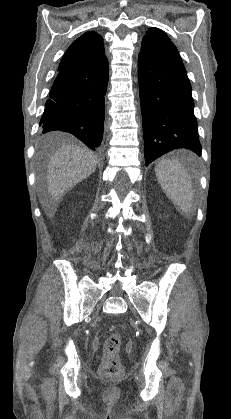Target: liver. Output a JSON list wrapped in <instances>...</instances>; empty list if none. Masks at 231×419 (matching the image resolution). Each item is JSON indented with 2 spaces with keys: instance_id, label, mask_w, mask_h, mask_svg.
Listing matches in <instances>:
<instances>
[{
  "instance_id": "6515ba94",
  "label": "liver",
  "mask_w": 231,
  "mask_h": 419,
  "mask_svg": "<svg viewBox=\"0 0 231 419\" xmlns=\"http://www.w3.org/2000/svg\"><path fill=\"white\" fill-rule=\"evenodd\" d=\"M94 154L76 145H63L51 157L47 169L49 203L44 204L49 217L55 205L76 184L90 176L96 169Z\"/></svg>"
}]
</instances>
